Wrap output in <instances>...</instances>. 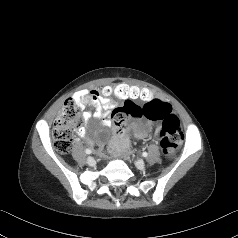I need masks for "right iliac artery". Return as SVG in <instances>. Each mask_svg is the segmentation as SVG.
I'll return each mask as SVG.
<instances>
[{
    "instance_id": "1",
    "label": "right iliac artery",
    "mask_w": 238,
    "mask_h": 238,
    "mask_svg": "<svg viewBox=\"0 0 238 238\" xmlns=\"http://www.w3.org/2000/svg\"><path fill=\"white\" fill-rule=\"evenodd\" d=\"M86 154H90L92 151L90 149L85 150Z\"/></svg>"
}]
</instances>
